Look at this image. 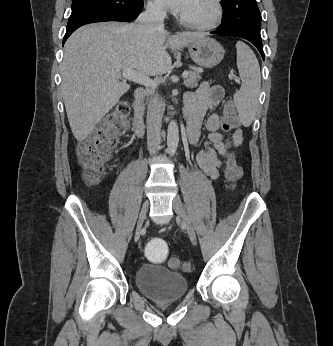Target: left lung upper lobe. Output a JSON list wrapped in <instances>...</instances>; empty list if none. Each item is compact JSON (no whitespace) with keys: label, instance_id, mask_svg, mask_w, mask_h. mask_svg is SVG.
Returning a JSON list of instances; mask_svg holds the SVG:
<instances>
[{"label":"left lung upper lobe","instance_id":"left-lung-upper-lobe-1","mask_svg":"<svg viewBox=\"0 0 333 346\" xmlns=\"http://www.w3.org/2000/svg\"><path fill=\"white\" fill-rule=\"evenodd\" d=\"M223 26H235L260 36L261 13L256 0H222Z\"/></svg>","mask_w":333,"mask_h":346}]
</instances>
